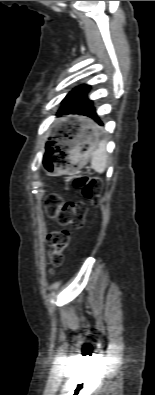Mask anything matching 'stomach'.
<instances>
[{"mask_svg":"<svg viewBox=\"0 0 155 395\" xmlns=\"http://www.w3.org/2000/svg\"><path fill=\"white\" fill-rule=\"evenodd\" d=\"M93 125H81L80 130L72 138H68L64 145L68 148L64 151L66 156L59 163L55 171L60 173H73L82 168L93 152L98 148V131ZM93 129V130H91Z\"/></svg>","mask_w":155,"mask_h":395,"instance_id":"stomach-1","label":"stomach"}]
</instances>
